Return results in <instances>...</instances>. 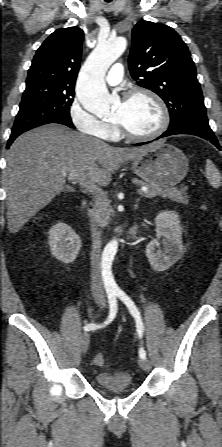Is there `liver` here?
Wrapping results in <instances>:
<instances>
[{"label":"liver","instance_id":"liver-1","mask_svg":"<svg viewBox=\"0 0 222 447\" xmlns=\"http://www.w3.org/2000/svg\"><path fill=\"white\" fill-rule=\"evenodd\" d=\"M146 147L116 148L49 124L19 136L7 152L3 182L7 192L8 229L18 232L55 196L70 190L65 178L107 186L119 164L143 154Z\"/></svg>","mask_w":222,"mask_h":447}]
</instances>
